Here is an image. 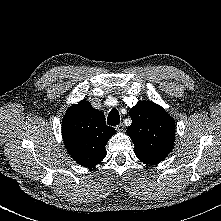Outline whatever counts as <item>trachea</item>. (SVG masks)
Listing matches in <instances>:
<instances>
[{
  "mask_svg": "<svg viewBox=\"0 0 221 221\" xmlns=\"http://www.w3.org/2000/svg\"><path fill=\"white\" fill-rule=\"evenodd\" d=\"M108 125L116 126L120 123V115L117 109H112L107 118Z\"/></svg>",
  "mask_w": 221,
  "mask_h": 221,
  "instance_id": "obj_1",
  "label": "trachea"
}]
</instances>
